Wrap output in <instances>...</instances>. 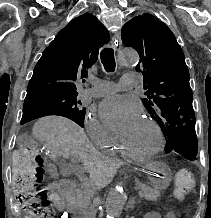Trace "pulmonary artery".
Returning <instances> with one entry per match:
<instances>
[{
	"label": "pulmonary artery",
	"mask_w": 211,
	"mask_h": 218,
	"mask_svg": "<svg viewBox=\"0 0 211 218\" xmlns=\"http://www.w3.org/2000/svg\"><path fill=\"white\" fill-rule=\"evenodd\" d=\"M120 80L119 87H122V91H131V87H136L138 85V80H141V75L137 73L126 74ZM91 83L92 88L85 90V94L91 97H102L107 96L115 92L118 86L111 81L101 80L98 78H92Z\"/></svg>",
	"instance_id": "e3ab8cb5"
}]
</instances>
